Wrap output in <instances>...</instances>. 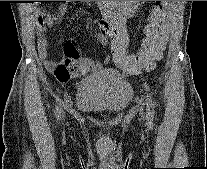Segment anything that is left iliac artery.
Wrapping results in <instances>:
<instances>
[{
    "label": "left iliac artery",
    "instance_id": "1",
    "mask_svg": "<svg viewBox=\"0 0 207 169\" xmlns=\"http://www.w3.org/2000/svg\"><path fill=\"white\" fill-rule=\"evenodd\" d=\"M149 97V101L147 103V107H148V116L150 119L153 118V115H154V104L152 102V98L151 96H148Z\"/></svg>",
    "mask_w": 207,
    "mask_h": 169
}]
</instances>
